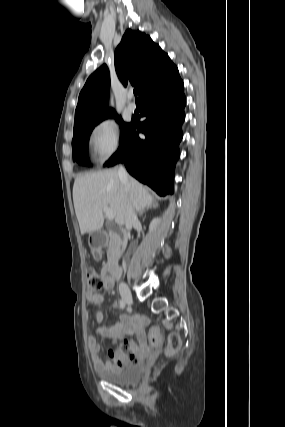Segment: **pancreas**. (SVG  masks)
<instances>
[{"mask_svg":"<svg viewBox=\"0 0 285 427\" xmlns=\"http://www.w3.org/2000/svg\"><path fill=\"white\" fill-rule=\"evenodd\" d=\"M108 243H109V251H108V253L110 255L111 248L114 247V246H119L120 245V239H119V237L115 233L109 232Z\"/></svg>","mask_w":285,"mask_h":427,"instance_id":"pancreas-1","label":"pancreas"}]
</instances>
